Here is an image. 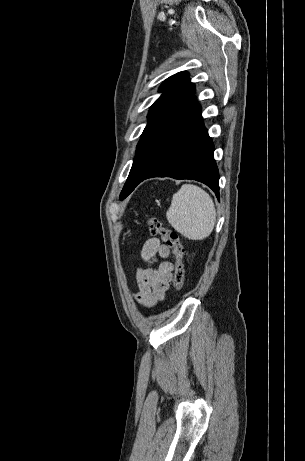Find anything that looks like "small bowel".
Here are the masks:
<instances>
[{"label": "small bowel", "mask_w": 305, "mask_h": 461, "mask_svg": "<svg viewBox=\"0 0 305 461\" xmlns=\"http://www.w3.org/2000/svg\"><path fill=\"white\" fill-rule=\"evenodd\" d=\"M140 255L146 267L136 270L134 283L137 291L134 297L142 307L152 308L165 300L174 265L168 260L170 249L158 238L146 240Z\"/></svg>", "instance_id": "obj_1"}]
</instances>
